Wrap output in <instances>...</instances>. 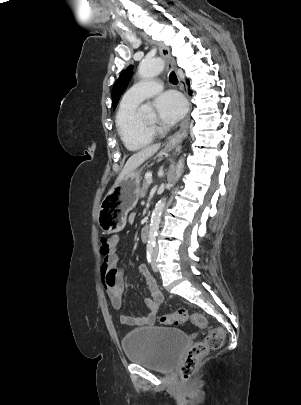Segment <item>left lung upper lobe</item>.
Returning <instances> with one entry per match:
<instances>
[{
  "label": "left lung upper lobe",
  "mask_w": 301,
  "mask_h": 405,
  "mask_svg": "<svg viewBox=\"0 0 301 405\" xmlns=\"http://www.w3.org/2000/svg\"><path fill=\"white\" fill-rule=\"evenodd\" d=\"M132 69L133 66L130 65L127 67L126 70H123L117 80V82L113 86L112 90V97H113V108L117 106V103L119 101V98L121 94L124 92L128 85V81L130 80L132 76Z\"/></svg>",
  "instance_id": "obj_1"
}]
</instances>
